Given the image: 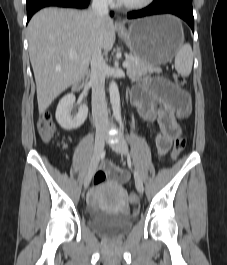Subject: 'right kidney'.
<instances>
[{
  "mask_svg": "<svg viewBox=\"0 0 227 265\" xmlns=\"http://www.w3.org/2000/svg\"><path fill=\"white\" fill-rule=\"evenodd\" d=\"M75 103V96L73 94L65 95L58 103L56 109V120L59 125L65 130H73L80 127L87 118L88 107L80 105L76 116H71V109Z\"/></svg>",
  "mask_w": 227,
  "mask_h": 265,
  "instance_id": "ca27d5eb",
  "label": "right kidney"
}]
</instances>
